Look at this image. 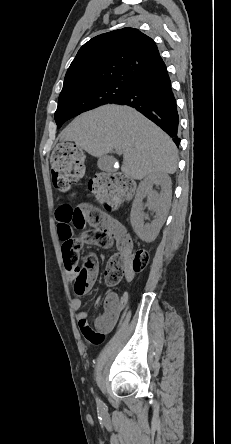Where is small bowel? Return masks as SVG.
I'll use <instances>...</instances> for the list:
<instances>
[{"instance_id": "c3829d8e", "label": "small bowel", "mask_w": 231, "mask_h": 444, "mask_svg": "<svg viewBox=\"0 0 231 444\" xmlns=\"http://www.w3.org/2000/svg\"><path fill=\"white\" fill-rule=\"evenodd\" d=\"M76 209L86 212L93 210V208L87 204L81 205ZM71 210L72 207L67 203L59 205L56 209L57 230L59 238L62 241L63 254L65 250H72L78 254L79 250L86 244L99 245L107 248L112 242L115 243L119 251L125 250L131 253L133 244L128 231L119 221L105 213L100 212L99 219L91 225L93 227L92 231L85 232L80 237H75L73 234V226L71 222L67 220V216ZM66 269L69 279L74 281L76 270L74 268ZM132 278L133 272L128 270L126 280L130 281ZM127 301L128 294L126 292L120 296L115 292H109L104 298L99 297L95 304L98 306L103 302L104 312L95 319L94 326L91 327L89 314L86 310L82 309L81 300L74 298L72 301V309L83 338L91 344L101 343L105 335L112 331L117 324Z\"/></svg>"}]
</instances>
